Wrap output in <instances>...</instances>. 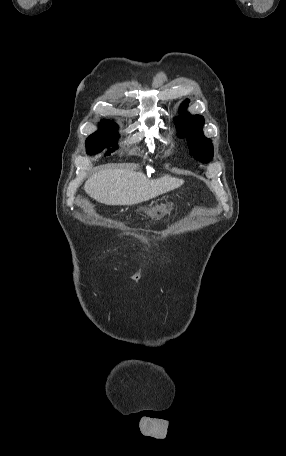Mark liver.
<instances>
[{
  "label": "liver",
  "mask_w": 286,
  "mask_h": 456,
  "mask_svg": "<svg viewBox=\"0 0 286 456\" xmlns=\"http://www.w3.org/2000/svg\"><path fill=\"white\" fill-rule=\"evenodd\" d=\"M183 179L164 175L148 180L142 172L130 168L106 169L93 174L84 190L106 205H135L179 188Z\"/></svg>",
  "instance_id": "liver-1"
}]
</instances>
